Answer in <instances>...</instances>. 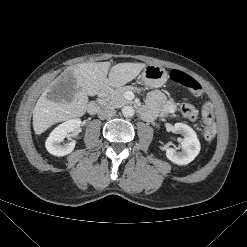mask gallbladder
Returning <instances> with one entry per match:
<instances>
[{"instance_id": "gallbladder-1", "label": "gallbladder", "mask_w": 247, "mask_h": 247, "mask_svg": "<svg viewBox=\"0 0 247 247\" xmlns=\"http://www.w3.org/2000/svg\"><path fill=\"white\" fill-rule=\"evenodd\" d=\"M57 86H58L59 88H63V89L66 88V84L63 83V82H59V83L57 84Z\"/></svg>"}]
</instances>
